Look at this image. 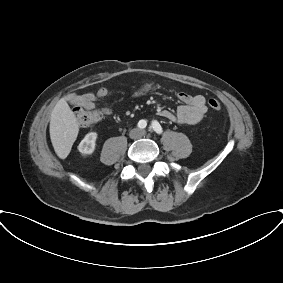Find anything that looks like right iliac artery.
<instances>
[{"instance_id":"obj_1","label":"right iliac artery","mask_w":283,"mask_h":283,"mask_svg":"<svg viewBox=\"0 0 283 283\" xmlns=\"http://www.w3.org/2000/svg\"><path fill=\"white\" fill-rule=\"evenodd\" d=\"M147 126V122L145 120H140L138 122V127L144 129Z\"/></svg>"}]
</instances>
